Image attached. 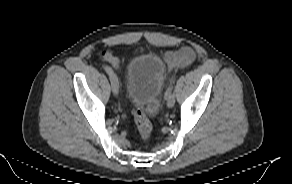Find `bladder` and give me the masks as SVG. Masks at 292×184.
I'll return each instance as SVG.
<instances>
[{
	"mask_svg": "<svg viewBox=\"0 0 292 184\" xmlns=\"http://www.w3.org/2000/svg\"><path fill=\"white\" fill-rule=\"evenodd\" d=\"M165 78L164 66L155 54L138 56L131 60L125 73L128 100L155 114Z\"/></svg>",
	"mask_w": 292,
	"mask_h": 184,
	"instance_id": "bladder-1",
	"label": "bladder"
}]
</instances>
